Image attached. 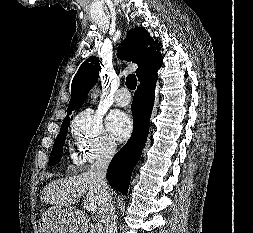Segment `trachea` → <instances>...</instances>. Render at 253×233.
I'll list each match as a JSON object with an SVG mask.
<instances>
[{"label": "trachea", "instance_id": "obj_1", "mask_svg": "<svg viewBox=\"0 0 253 233\" xmlns=\"http://www.w3.org/2000/svg\"><path fill=\"white\" fill-rule=\"evenodd\" d=\"M136 85H137L136 76L134 74L128 75L126 78V86L131 90H135Z\"/></svg>", "mask_w": 253, "mask_h": 233}]
</instances>
